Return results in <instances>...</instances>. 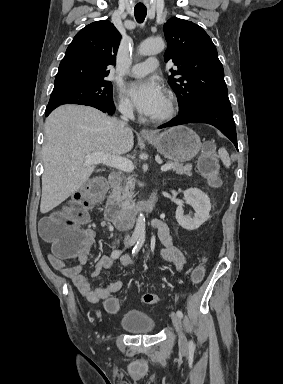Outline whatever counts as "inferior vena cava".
Listing matches in <instances>:
<instances>
[{
  "mask_svg": "<svg viewBox=\"0 0 283 384\" xmlns=\"http://www.w3.org/2000/svg\"><path fill=\"white\" fill-rule=\"evenodd\" d=\"M119 112H121L122 116H121V120H120L118 126H119V130H120L121 134H124V132H126V130H127V128H126L127 122H129V120H132V118H134L133 108H132L131 104H120ZM124 244H125V246H129L130 236H125Z\"/></svg>",
  "mask_w": 283,
  "mask_h": 384,
  "instance_id": "1",
  "label": "inferior vena cava"
}]
</instances>
